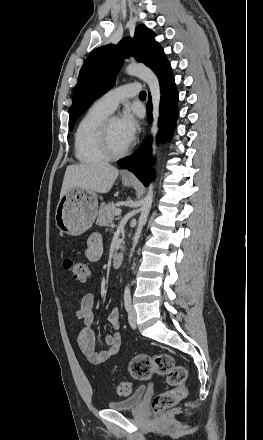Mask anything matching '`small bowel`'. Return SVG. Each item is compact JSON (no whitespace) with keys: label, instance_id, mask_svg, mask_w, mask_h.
<instances>
[{"label":"small bowel","instance_id":"1","mask_svg":"<svg viewBox=\"0 0 263 440\" xmlns=\"http://www.w3.org/2000/svg\"><path fill=\"white\" fill-rule=\"evenodd\" d=\"M103 253V238L100 233H93L87 240L85 256L89 261H98ZM95 299L92 293L85 294L76 312V317L83 321L84 328L77 337V346L83 356L92 365H101L110 361L119 352L121 336L119 333V309L113 307L108 315V320L114 332L106 335L104 343L106 348L102 351L95 349V334L93 330Z\"/></svg>","mask_w":263,"mask_h":440}]
</instances>
